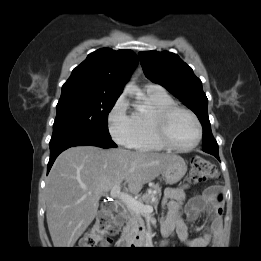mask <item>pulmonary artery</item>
I'll list each match as a JSON object with an SVG mask.
<instances>
[{
  "label": "pulmonary artery",
  "mask_w": 261,
  "mask_h": 261,
  "mask_svg": "<svg viewBox=\"0 0 261 261\" xmlns=\"http://www.w3.org/2000/svg\"><path fill=\"white\" fill-rule=\"evenodd\" d=\"M145 90L150 91V92H160V91H163V88L158 84L147 83L145 85Z\"/></svg>",
  "instance_id": "pulmonary-artery-1"
}]
</instances>
